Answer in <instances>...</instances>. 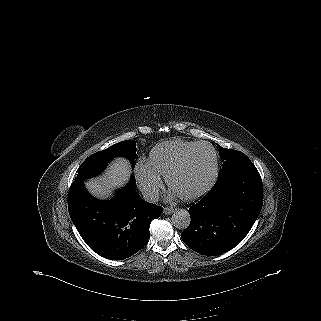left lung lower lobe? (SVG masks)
Returning <instances> with one entry per match:
<instances>
[{"label": "left lung lower lobe", "instance_id": "1", "mask_svg": "<svg viewBox=\"0 0 321 321\" xmlns=\"http://www.w3.org/2000/svg\"><path fill=\"white\" fill-rule=\"evenodd\" d=\"M263 204L260 174L251 162L234 165L219 174L211 190L189 208L191 223L181 233L195 252L221 255L248 234Z\"/></svg>", "mask_w": 321, "mask_h": 321}]
</instances>
